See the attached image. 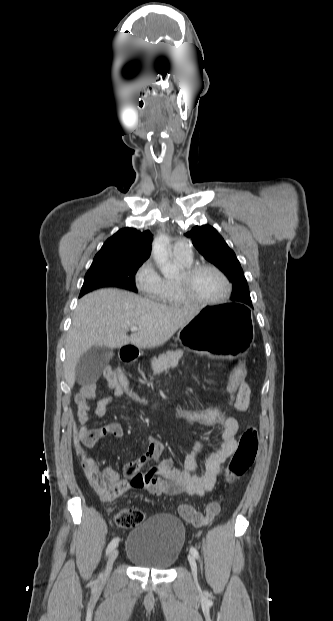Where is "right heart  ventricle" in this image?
Masks as SVG:
<instances>
[{
  "mask_svg": "<svg viewBox=\"0 0 333 621\" xmlns=\"http://www.w3.org/2000/svg\"><path fill=\"white\" fill-rule=\"evenodd\" d=\"M175 261L180 265L182 269L192 265V260L185 261L175 257ZM155 299L158 302L169 306H179L187 303L178 290L176 280L168 278L162 279L161 289Z\"/></svg>",
  "mask_w": 333,
  "mask_h": 621,
  "instance_id": "right-heart-ventricle-1",
  "label": "right heart ventricle"
}]
</instances>
